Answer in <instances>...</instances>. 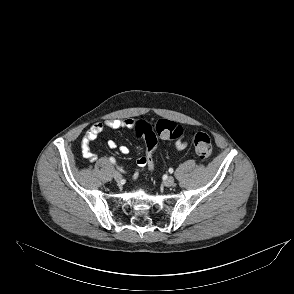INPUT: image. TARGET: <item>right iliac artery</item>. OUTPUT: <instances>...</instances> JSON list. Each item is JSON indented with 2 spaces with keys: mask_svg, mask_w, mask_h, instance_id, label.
<instances>
[{
  "mask_svg": "<svg viewBox=\"0 0 294 294\" xmlns=\"http://www.w3.org/2000/svg\"><path fill=\"white\" fill-rule=\"evenodd\" d=\"M110 162L113 163V164L116 163V161H115V159L113 157L110 158ZM120 171H122V169H120Z\"/></svg>",
  "mask_w": 294,
  "mask_h": 294,
  "instance_id": "82829eb1",
  "label": "right iliac artery"
}]
</instances>
